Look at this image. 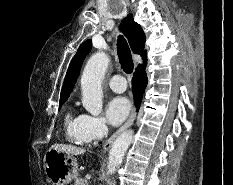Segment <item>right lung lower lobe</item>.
<instances>
[{"label": "right lung lower lobe", "mask_w": 233, "mask_h": 185, "mask_svg": "<svg viewBox=\"0 0 233 185\" xmlns=\"http://www.w3.org/2000/svg\"><path fill=\"white\" fill-rule=\"evenodd\" d=\"M145 66L146 65L137 67L134 76L132 78V90L134 94L135 104L137 107H139L144 90L147 85Z\"/></svg>", "instance_id": "obj_1"}]
</instances>
